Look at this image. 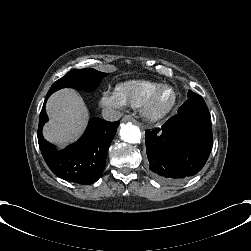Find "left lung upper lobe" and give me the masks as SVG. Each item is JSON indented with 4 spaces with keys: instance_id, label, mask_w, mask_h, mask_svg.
I'll use <instances>...</instances> for the list:
<instances>
[{
    "instance_id": "1",
    "label": "left lung upper lobe",
    "mask_w": 251,
    "mask_h": 251,
    "mask_svg": "<svg viewBox=\"0 0 251 251\" xmlns=\"http://www.w3.org/2000/svg\"><path fill=\"white\" fill-rule=\"evenodd\" d=\"M182 111H200L209 114V110L203 98L191 90L188 91V99L178 109V112Z\"/></svg>"
}]
</instances>
